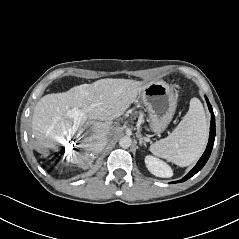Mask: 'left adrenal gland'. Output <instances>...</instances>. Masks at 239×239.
<instances>
[{"label": "left adrenal gland", "instance_id": "left-adrenal-gland-1", "mask_svg": "<svg viewBox=\"0 0 239 239\" xmlns=\"http://www.w3.org/2000/svg\"><path fill=\"white\" fill-rule=\"evenodd\" d=\"M136 136L137 138L139 139V145L142 146L144 145L145 147L147 146L146 145V142L144 141V139L142 138L141 134L140 133H136Z\"/></svg>", "mask_w": 239, "mask_h": 239}]
</instances>
